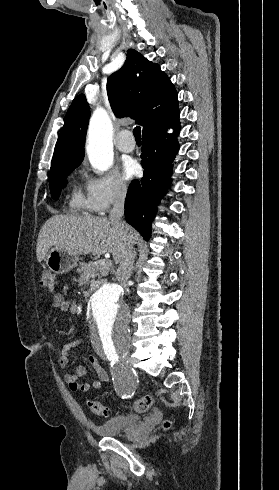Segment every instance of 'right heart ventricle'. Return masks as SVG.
<instances>
[{
  "instance_id": "right-heart-ventricle-1",
  "label": "right heart ventricle",
  "mask_w": 279,
  "mask_h": 490,
  "mask_svg": "<svg viewBox=\"0 0 279 490\" xmlns=\"http://www.w3.org/2000/svg\"><path fill=\"white\" fill-rule=\"evenodd\" d=\"M72 205L74 207H77L79 209H85L84 207V200L78 196V195H75L74 199H73V202H72Z\"/></svg>"
}]
</instances>
